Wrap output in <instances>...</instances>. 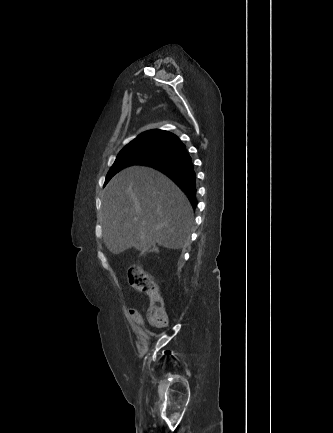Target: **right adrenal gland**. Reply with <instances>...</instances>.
I'll return each mask as SVG.
<instances>
[{"instance_id": "1", "label": "right adrenal gland", "mask_w": 333, "mask_h": 433, "mask_svg": "<svg viewBox=\"0 0 333 433\" xmlns=\"http://www.w3.org/2000/svg\"><path fill=\"white\" fill-rule=\"evenodd\" d=\"M158 248L156 246H153L151 249H149V252H156Z\"/></svg>"}]
</instances>
